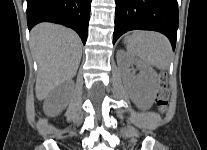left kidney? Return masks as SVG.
Wrapping results in <instances>:
<instances>
[{
	"instance_id": "1",
	"label": "left kidney",
	"mask_w": 207,
	"mask_h": 150,
	"mask_svg": "<svg viewBox=\"0 0 207 150\" xmlns=\"http://www.w3.org/2000/svg\"><path fill=\"white\" fill-rule=\"evenodd\" d=\"M117 60L131 100L138 108L142 110L149 109L154 103L157 93V73L153 68L123 50L118 51ZM130 65H135L140 70L137 78L130 74L128 68ZM136 84H139L140 87L137 88Z\"/></svg>"
}]
</instances>
